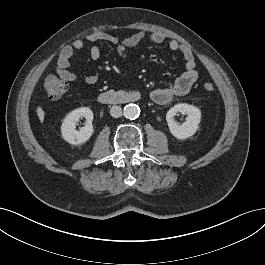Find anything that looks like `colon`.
Instances as JSON below:
<instances>
[{"label":"colon","instance_id":"1","mask_svg":"<svg viewBox=\"0 0 265 265\" xmlns=\"http://www.w3.org/2000/svg\"><path fill=\"white\" fill-rule=\"evenodd\" d=\"M201 88L206 93L214 91V85L210 81L203 82ZM44 90L49 100H58L67 91V85L63 80L51 75L44 81Z\"/></svg>","mask_w":265,"mask_h":265}]
</instances>
